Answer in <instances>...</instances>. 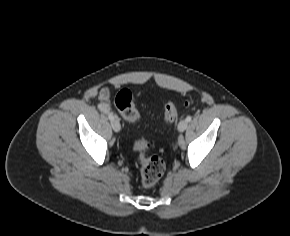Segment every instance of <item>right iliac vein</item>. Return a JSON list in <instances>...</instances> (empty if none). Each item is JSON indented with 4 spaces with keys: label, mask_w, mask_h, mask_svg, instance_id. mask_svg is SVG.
Listing matches in <instances>:
<instances>
[{
    "label": "right iliac vein",
    "mask_w": 290,
    "mask_h": 236,
    "mask_svg": "<svg viewBox=\"0 0 290 236\" xmlns=\"http://www.w3.org/2000/svg\"><path fill=\"white\" fill-rule=\"evenodd\" d=\"M112 128L115 132H119L121 130V125L118 119H113L111 122Z\"/></svg>",
    "instance_id": "right-iliac-vein-1"
}]
</instances>
